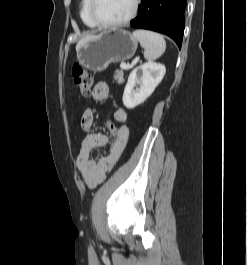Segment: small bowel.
Instances as JSON below:
<instances>
[{
    "mask_svg": "<svg viewBox=\"0 0 247 265\" xmlns=\"http://www.w3.org/2000/svg\"><path fill=\"white\" fill-rule=\"evenodd\" d=\"M110 87L105 82H98L94 86L92 96L95 100L101 101L108 97ZM115 120L120 124L118 127V142L112 153L92 157V152L95 148L104 146L108 143V137L101 133L87 134L80 146V151L76 159V167L89 188H94L102 183L108 172L112 170L124 148L126 147L129 138V129L126 125L128 112L126 109L119 107L114 113ZM94 122V111L92 108H87L81 117V128L84 131H89Z\"/></svg>",
    "mask_w": 247,
    "mask_h": 265,
    "instance_id": "c3829d8e",
    "label": "small bowel"
}]
</instances>
